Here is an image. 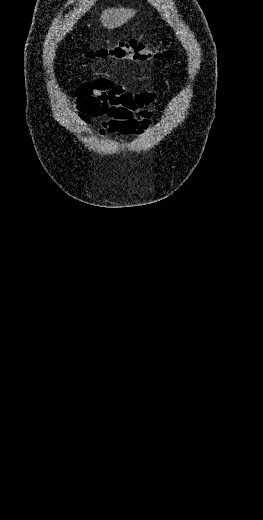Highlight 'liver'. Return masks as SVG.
Segmentation results:
<instances>
[{
    "mask_svg": "<svg viewBox=\"0 0 263 520\" xmlns=\"http://www.w3.org/2000/svg\"><path fill=\"white\" fill-rule=\"evenodd\" d=\"M136 14L134 9L108 8L100 16V21L107 29H114L122 26Z\"/></svg>",
    "mask_w": 263,
    "mask_h": 520,
    "instance_id": "1",
    "label": "liver"
}]
</instances>
